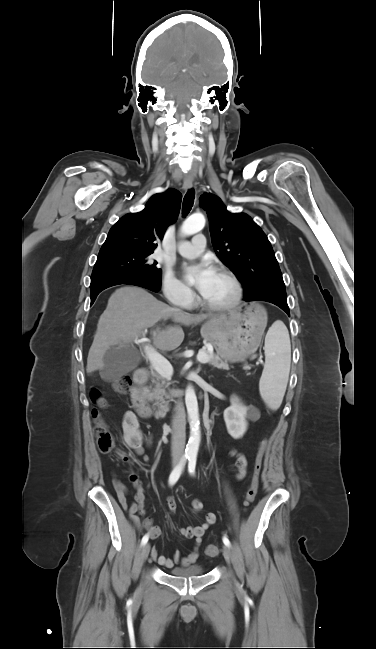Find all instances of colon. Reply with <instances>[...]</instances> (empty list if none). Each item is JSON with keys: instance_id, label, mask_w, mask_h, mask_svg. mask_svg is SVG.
Returning a JSON list of instances; mask_svg holds the SVG:
<instances>
[{"instance_id": "5ec220e1", "label": "colon", "mask_w": 376, "mask_h": 649, "mask_svg": "<svg viewBox=\"0 0 376 649\" xmlns=\"http://www.w3.org/2000/svg\"><path fill=\"white\" fill-rule=\"evenodd\" d=\"M131 384L132 383L130 377L128 375H123L113 380L111 386L114 392L118 394H127L130 391ZM92 399L98 404L100 408H104L106 406L105 400L101 398L97 392L92 393ZM92 417L95 422L94 433L96 436L99 449L105 453L114 450L115 449L114 436L112 432L109 430L107 424L101 418L99 411L94 409L92 411ZM265 445H266V441L262 439L259 442L257 454L255 457L254 477L251 481L248 491L246 492L245 502H244L245 505H250L254 501L257 495L258 487H259V474L263 465ZM117 453L122 460L128 461V457L123 451L119 450L117 451ZM219 552L220 549L215 544H210L206 548V554L210 557L217 556Z\"/></svg>"}]
</instances>
